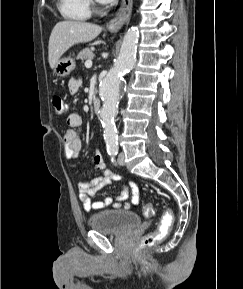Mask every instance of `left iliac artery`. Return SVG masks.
<instances>
[{
    "mask_svg": "<svg viewBox=\"0 0 243 289\" xmlns=\"http://www.w3.org/2000/svg\"><path fill=\"white\" fill-rule=\"evenodd\" d=\"M116 154H117V152H115V154H112V155H111V156H112V158H111L112 162H115L114 157H115Z\"/></svg>",
    "mask_w": 243,
    "mask_h": 289,
    "instance_id": "44dca946",
    "label": "left iliac artery"
}]
</instances>
